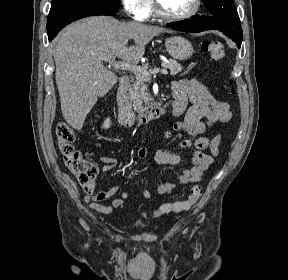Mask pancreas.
<instances>
[{
    "mask_svg": "<svg viewBox=\"0 0 288 280\" xmlns=\"http://www.w3.org/2000/svg\"><path fill=\"white\" fill-rule=\"evenodd\" d=\"M162 65L169 68L172 75H176L183 70V67L173 59L163 61ZM141 69L147 71L148 65H142ZM146 81L145 78L138 74L132 79L133 85L130 96L133 101L134 110L138 113L146 111L150 104H152V98L148 91Z\"/></svg>",
    "mask_w": 288,
    "mask_h": 280,
    "instance_id": "cf45deb5",
    "label": "pancreas"
}]
</instances>
